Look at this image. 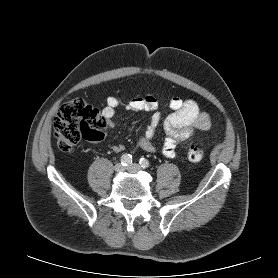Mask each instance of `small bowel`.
Wrapping results in <instances>:
<instances>
[{"mask_svg": "<svg viewBox=\"0 0 278 278\" xmlns=\"http://www.w3.org/2000/svg\"><path fill=\"white\" fill-rule=\"evenodd\" d=\"M158 100L153 95L135 97L126 104V109L131 111H152L150 122L143 135L139 137L138 146L147 152H156L157 149L152 143L155 131L161 123V114L157 111ZM169 106L172 113L163 121V128L166 134L162 146V153L168 158L176 156L177 144L194 135L197 131H205L211 128V119L208 113L202 111L196 101L173 97ZM121 107V102L115 97L107 99L102 115L106 119V125L112 127L113 117L116 109ZM112 150L121 152L124 145H112Z\"/></svg>", "mask_w": 278, "mask_h": 278, "instance_id": "small-bowel-1", "label": "small bowel"}]
</instances>
